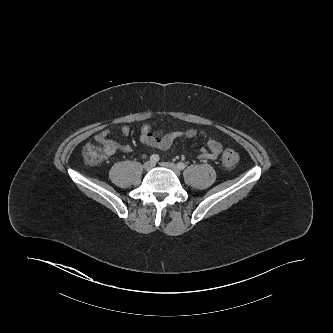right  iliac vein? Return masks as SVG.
Instances as JSON below:
<instances>
[{"label": "right iliac vein", "instance_id": "obj_1", "mask_svg": "<svg viewBox=\"0 0 333 333\" xmlns=\"http://www.w3.org/2000/svg\"><path fill=\"white\" fill-rule=\"evenodd\" d=\"M143 167L146 171H149L154 167V163L152 161H146Z\"/></svg>", "mask_w": 333, "mask_h": 333}]
</instances>
